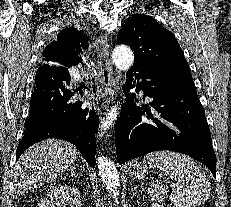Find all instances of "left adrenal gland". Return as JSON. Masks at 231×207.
Here are the masks:
<instances>
[{
    "instance_id": "1",
    "label": "left adrenal gland",
    "mask_w": 231,
    "mask_h": 207,
    "mask_svg": "<svg viewBox=\"0 0 231 207\" xmlns=\"http://www.w3.org/2000/svg\"><path fill=\"white\" fill-rule=\"evenodd\" d=\"M138 191V187L136 186L135 188H134V192L136 193ZM134 193V194H135Z\"/></svg>"
}]
</instances>
